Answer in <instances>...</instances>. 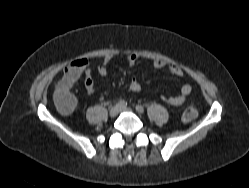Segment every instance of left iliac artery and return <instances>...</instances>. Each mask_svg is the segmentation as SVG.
<instances>
[{
  "label": "left iliac artery",
  "instance_id": "1",
  "mask_svg": "<svg viewBox=\"0 0 249 188\" xmlns=\"http://www.w3.org/2000/svg\"><path fill=\"white\" fill-rule=\"evenodd\" d=\"M135 108H136V110H137L139 113H144V108H143V106L137 105Z\"/></svg>",
  "mask_w": 249,
  "mask_h": 188
}]
</instances>
